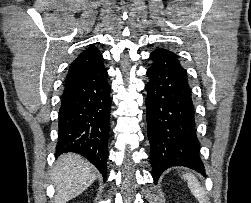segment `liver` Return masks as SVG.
I'll return each mask as SVG.
<instances>
[{
	"label": "liver",
	"instance_id": "obj_1",
	"mask_svg": "<svg viewBox=\"0 0 251 203\" xmlns=\"http://www.w3.org/2000/svg\"><path fill=\"white\" fill-rule=\"evenodd\" d=\"M97 178L95 168L82 156H60L52 175L56 186L55 203H66L85 191Z\"/></svg>",
	"mask_w": 251,
	"mask_h": 203
}]
</instances>
